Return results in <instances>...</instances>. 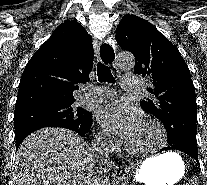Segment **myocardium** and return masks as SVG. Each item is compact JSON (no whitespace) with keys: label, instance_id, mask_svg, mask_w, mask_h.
I'll return each mask as SVG.
<instances>
[{"label":"myocardium","instance_id":"f54148a6","mask_svg":"<svg viewBox=\"0 0 207 185\" xmlns=\"http://www.w3.org/2000/svg\"><path fill=\"white\" fill-rule=\"evenodd\" d=\"M145 121L156 127V129L158 130V132L163 140H166L168 138L167 131H166L164 125L159 120L154 119V118H146ZM124 146H125L126 150L133 155L149 156L152 153L151 150H138V149L133 148L127 139L124 142Z\"/></svg>","mask_w":207,"mask_h":185}]
</instances>
